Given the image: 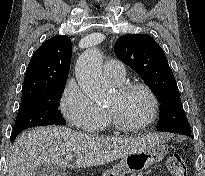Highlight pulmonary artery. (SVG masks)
Returning a JSON list of instances; mask_svg holds the SVG:
<instances>
[{"label": "pulmonary artery", "instance_id": "obj_1", "mask_svg": "<svg viewBox=\"0 0 205 176\" xmlns=\"http://www.w3.org/2000/svg\"><path fill=\"white\" fill-rule=\"evenodd\" d=\"M103 74L110 82L121 83L126 76L124 64L118 60H108L103 66Z\"/></svg>", "mask_w": 205, "mask_h": 176}]
</instances>
